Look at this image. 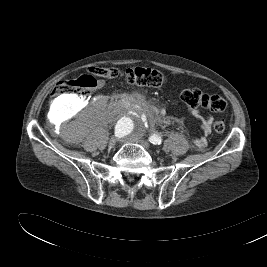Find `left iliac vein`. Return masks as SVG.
<instances>
[{
    "label": "left iliac vein",
    "instance_id": "4c4485c4",
    "mask_svg": "<svg viewBox=\"0 0 267 267\" xmlns=\"http://www.w3.org/2000/svg\"><path fill=\"white\" fill-rule=\"evenodd\" d=\"M128 141L131 142H136L138 144H140L141 146H143L145 149H149L150 148V143L146 140L140 139L137 136H132L131 138L128 139Z\"/></svg>",
    "mask_w": 267,
    "mask_h": 267
}]
</instances>
